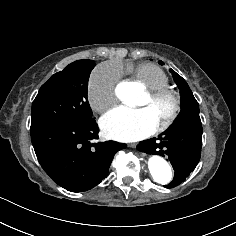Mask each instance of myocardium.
Returning a JSON list of instances; mask_svg holds the SVG:
<instances>
[{
  "mask_svg": "<svg viewBox=\"0 0 236 236\" xmlns=\"http://www.w3.org/2000/svg\"><path fill=\"white\" fill-rule=\"evenodd\" d=\"M149 103L158 105L163 102H168L170 105L169 111L161 124L154 128V133H162L167 131L178 119L182 112V99L179 93L169 87H163L155 91L147 93Z\"/></svg>",
  "mask_w": 236,
  "mask_h": 236,
  "instance_id": "1",
  "label": "myocardium"
}]
</instances>
